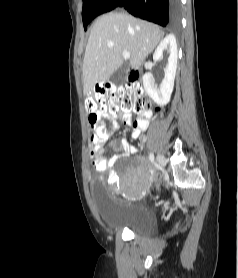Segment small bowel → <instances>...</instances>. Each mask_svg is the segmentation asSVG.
Returning <instances> with one entry per match:
<instances>
[{"instance_id":"obj_1","label":"small bowel","mask_w":238,"mask_h":278,"mask_svg":"<svg viewBox=\"0 0 238 278\" xmlns=\"http://www.w3.org/2000/svg\"><path fill=\"white\" fill-rule=\"evenodd\" d=\"M101 116L105 119L116 120L124 122L131 129L132 139H138L142 133L147 131L149 127V120L151 117L150 111L139 114L135 119H132L131 113L117 110L116 112H102ZM111 134L105 128V122L101 121L99 124L94 126L93 132L91 134V151L90 157L92 159L93 167L99 171L104 172L114 166L118 159L121 157H126L134 154L136 148L130 144V142L124 138L115 146L121 150V153L115 154L110 158L104 156L103 145L106 140L110 138ZM114 177V176H113Z\"/></svg>"}]
</instances>
